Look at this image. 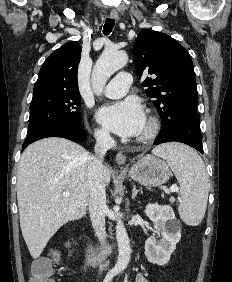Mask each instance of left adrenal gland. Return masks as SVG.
Instances as JSON below:
<instances>
[{"label": "left adrenal gland", "instance_id": "1", "mask_svg": "<svg viewBox=\"0 0 232 282\" xmlns=\"http://www.w3.org/2000/svg\"><path fill=\"white\" fill-rule=\"evenodd\" d=\"M138 192H140V190L136 189V186L134 185L133 186V190H132V199H135V197L137 196Z\"/></svg>", "mask_w": 232, "mask_h": 282}]
</instances>
